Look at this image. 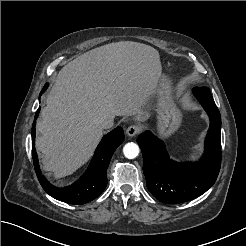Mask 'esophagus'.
<instances>
[{
  "instance_id": "1",
  "label": "esophagus",
  "mask_w": 246,
  "mask_h": 246,
  "mask_svg": "<svg viewBox=\"0 0 246 246\" xmlns=\"http://www.w3.org/2000/svg\"><path fill=\"white\" fill-rule=\"evenodd\" d=\"M140 127L138 125H131L127 128L126 134L130 137L137 135L140 132Z\"/></svg>"
}]
</instances>
